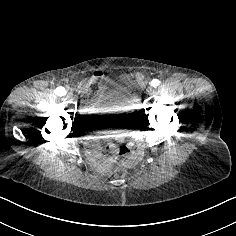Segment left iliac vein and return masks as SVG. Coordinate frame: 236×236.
Masks as SVG:
<instances>
[{"label": "left iliac vein", "mask_w": 236, "mask_h": 236, "mask_svg": "<svg viewBox=\"0 0 236 236\" xmlns=\"http://www.w3.org/2000/svg\"><path fill=\"white\" fill-rule=\"evenodd\" d=\"M154 93H155V90L152 87H149L145 90V95L146 96H152V95H154Z\"/></svg>", "instance_id": "left-iliac-vein-1"}]
</instances>
